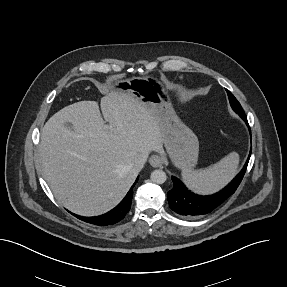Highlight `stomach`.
<instances>
[{
  "mask_svg": "<svg viewBox=\"0 0 287 287\" xmlns=\"http://www.w3.org/2000/svg\"><path fill=\"white\" fill-rule=\"evenodd\" d=\"M110 92L131 93L159 121L163 144L174 165L192 169L198 160L199 142L196 135L176 115L165 84L154 76L114 80Z\"/></svg>",
  "mask_w": 287,
  "mask_h": 287,
  "instance_id": "stomach-1",
  "label": "stomach"
}]
</instances>
